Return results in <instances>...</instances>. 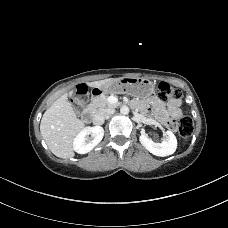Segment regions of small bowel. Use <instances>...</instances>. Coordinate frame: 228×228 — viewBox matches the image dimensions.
I'll use <instances>...</instances> for the list:
<instances>
[{"instance_id":"small-bowel-1","label":"small bowel","mask_w":228,"mask_h":228,"mask_svg":"<svg viewBox=\"0 0 228 228\" xmlns=\"http://www.w3.org/2000/svg\"><path fill=\"white\" fill-rule=\"evenodd\" d=\"M150 103H152L155 107V110L158 113V118L164 123L168 124L170 122L169 115L173 117H177L181 114L180 111V101L174 100L169 103H163L159 101L157 98L153 97L150 99ZM133 106L142 107L139 101H133ZM147 111V109H145Z\"/></svg>"}]
</instances>
